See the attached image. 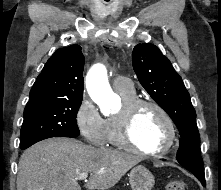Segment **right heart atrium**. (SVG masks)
<instances>
[{"instance_id": "right-heart-atrium-1", "label": "right heart atrium", "mask_w": 221, "mask_h": 190, "mask_svg": "<svg viewBox=\"0 0 221 190\" xmlns=\"http://www.w3.org/2000/svg\"><path fill=\"white\" fill-rule=\"evenodd\" d=\"M75 123L82 137L90 145L101 147L107 144V120L87 96L82 98L77 107Z\"/></svg>"}]
</instances>
